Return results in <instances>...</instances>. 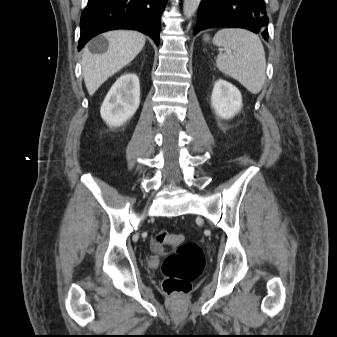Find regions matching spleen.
Here are the masks:
<instances>
[{"instance_id":"1","label":"spleen","mask_w":337,"mask_h":337,"mask_svg":"<svg viewBox=\"0 0 337 337\" xmlns=\"http://www.w3.org/2000/svg\"><path fill=\"white\" fill-rule=\"evenodd\" d=\"M213 44L227 50L218 54L217 68L250 93L258 94L266 79L265 51L258 35L245 29H221L215 34Z\"/></svg>"}]
</instances>
